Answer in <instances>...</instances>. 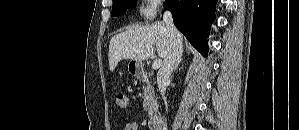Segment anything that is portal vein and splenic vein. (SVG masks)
<instances>
[{
	"instance_id": "18ae733b",
	"label": "portal vein and splenic vein",
	"mask_w": 299,
	"mask_h": 130,
	"mask_svg": "<svg viewBox=\"0 0 299 130\" xmlns=\"http://www.w3.org/2000/svg\"><path fill=\"white\" fill-rule=\"evenodd\" d=\"M161 65H162V60L157 59L153 62L152 69L156 70V69L160 68Z\"/></svg>"
}]
</instances>
